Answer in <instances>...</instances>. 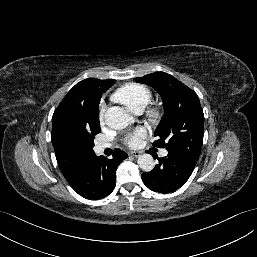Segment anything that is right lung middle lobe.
<instances>
[{
	"instance_id": "dd1d6c3e",
	"label": "right lung middle lobe",
	"mask_w": 257,
	"mask_h": 257,
	"mask_svg": "<svg viewBox=\"0 0 257 257\" xmlns=\"http://www.w3.org/2000/svg\"><path fill=\"white\" fill-rule=\"evenodd\" d=\"M101 94L96 95L91 101L87 102V111L92 117V124L89 129L76 137V140L89 150H93L94 136L100 132L98 105L101 99Z\"/></svg>"
}]
</instances>
